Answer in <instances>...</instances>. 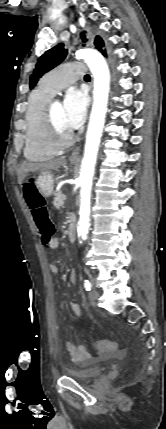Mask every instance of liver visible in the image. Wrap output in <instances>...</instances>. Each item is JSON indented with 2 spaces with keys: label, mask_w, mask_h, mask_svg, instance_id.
Returning <instances> with one entry per match:
<instances>
[{
  "label": "liver",
  "mask_w": 166,
  "mask_h": 429,
  "mask_svg": "<svg viewBox=\"0 0 166 429\" xmlns=\"http://www.w3.org/2000/svg\"><path fill=\"white\" fill-rule=\"evenodd\" d=\"M65 163V157L57 158L44 163H31L24 162L22 163L18 170V182L22 184L23 180L26 178L29 172L35 173H51L52 170H57L61 165Z\"/></svg>",
  "instance_id": "liver-1"
}]
</instances>
